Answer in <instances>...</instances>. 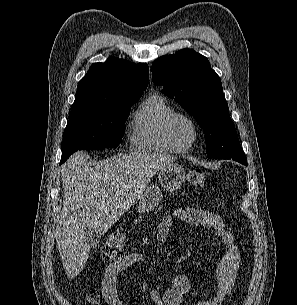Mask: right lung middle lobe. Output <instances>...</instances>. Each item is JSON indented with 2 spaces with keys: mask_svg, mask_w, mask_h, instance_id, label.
<instances>
[{
  "mask_svg": "<svg viewBox=\"0 0 297 305\" xmlns=\"http://www.w3.org/2000/svg\"><path fill=\"white\" fill-rule=\"evenodd\" d=\"M138 98L72 107L63 134L61 159L66 161L72 153L80 149L119 146L130 107Z\"/></svg>",
  "mask_w": 297,
  "mask_h": 305,
  "instance_id": "1",
  "label": "right lung middle lobe"
}]
</instances>
